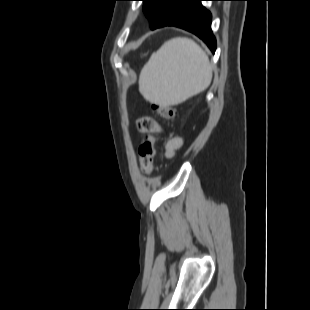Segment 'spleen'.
Listing matches in <instances>:
<instances>
[{"label": "spleen", "instance_id": "spleen-1", "mask_svg": "<svg viewBox=\"0 0 310 310\" xmlns=\"http://www.w3.org/2000/svg\"><path fill=\"white\" fill-rule=\"evenodd\" d=\"M209 59L192 39L177 37L165 42L143 67L139 91L164 105H177L211 83Z\"/></svg>", "mask_w": 310, "mask_h": 310}]
</instances>
